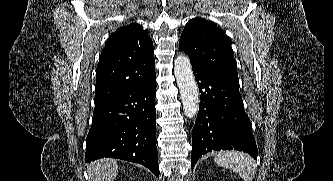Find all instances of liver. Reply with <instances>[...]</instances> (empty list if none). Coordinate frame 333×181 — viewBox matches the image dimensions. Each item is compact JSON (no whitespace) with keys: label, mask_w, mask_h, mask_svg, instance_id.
I'll list each match as a JSON object with an SVG mask.
<instances>
[{"label":"liver","mask_w":333,"mask_h":181,"mask_svg":"<svg viewBox=\"0 0 333 181\" xmlns=\"http://www.w3.org/2000/svg\"><path fill=\"white\" fill-rule=\"evenodd\" d=\"M89 181H113L118 174L117 160L101 158L87 167Z\"/></svg>","instance_id":"obj_1"}]
</instances>
